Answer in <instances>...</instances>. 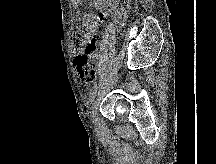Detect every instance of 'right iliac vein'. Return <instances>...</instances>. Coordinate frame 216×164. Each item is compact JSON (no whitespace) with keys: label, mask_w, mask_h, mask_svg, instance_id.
Segmentation results:
<instances>
[{"label":"right iliac vein","mask_w":216,"mask_h":164,"mask_svg":"<svg viewBox=\"0 0 216 164\" xmlns=\"http://www.w3.org/2000/svg\"><path fill=\"white\" fill-rule=\"evenodd\" d=\"M97 110H98V95H95L92 101V117L94 119V122H96Z\"/></svg>","instance_id":"1"}]
</instances>
